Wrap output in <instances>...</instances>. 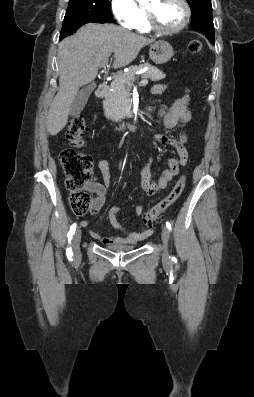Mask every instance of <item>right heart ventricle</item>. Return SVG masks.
<instances>
[{
  "instance_id": "right-heart-ventricle-1",
  "label": "right heart ventricle",
  "mask_w": 254,
  "mask_h": 397,
  "mask_svg": "<svg viewBox=\"0 0 254 397\" xmlns=\"http://www.w3.org/2000/svg\"><path fill=\"white\" fill-rule=\"evenodd\" d=\"M135 29H137L138 31L143 32V33L150 31V28L148 27L147 20H146V14L144 11H143V16H142L140 22L135 27Z\"/></svg>"
}]
</instances>
